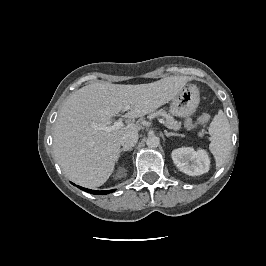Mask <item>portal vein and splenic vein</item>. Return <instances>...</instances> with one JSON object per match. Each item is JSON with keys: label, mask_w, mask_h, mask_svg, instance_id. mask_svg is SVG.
Returning <instances> with one entry per match:
<instances>
[{"label": "portal vein and splenic vein", "mask_w": 266, "mask_h": 266, "mask_svg": "<svg viewBox=\"0 0 266 266\" xmlns=\"http://www.w3.org/2000/svg\"><path fill=\"white\" fill-rule=\"evenodd\" d=\"M129 109H130L129 105L125 106V111H128ZM159 122L166 126L165 122L162 119H159ZM123 126H124L123 120H122V118H119L118 120H116L114 122L113 125H110V126H98V129L99 130H104V131H107V132H111L113 130L120 129Z\"/></svg>", "instance_id": "1"}]
</instances>
